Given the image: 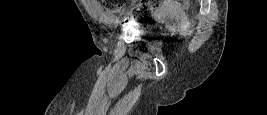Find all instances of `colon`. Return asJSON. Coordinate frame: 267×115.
<instances>
[{"instance_id":"5ec220e1","label":"colon","mask_w":267,"mask_h":115,"mask_svg":"<svg viewBox=\"0 0 267 115\" xmlns=\"http://www.w3.org/2000/svg\"><path fill=\"white\" fill-rule=\"evenodd\" d=\"M161 0H141L131 9H125L124 0H103L105 9L113 14L119 15L123 20L146 21L150 18L151 11L154 7L159 6Z\"/></svg>"}]
</instances>
